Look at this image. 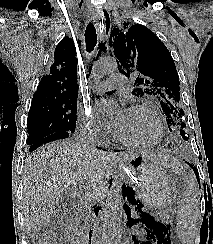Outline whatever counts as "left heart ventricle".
Returning <instances> with one entry per match:
<instances>
[{
  "label": "left heart ventricle",
  "mask_w": 213,
  "mask_h": 244,
  "mask_svg": "<svg viewBox=\"0 0 213 244\" xmlns=\"http://www.w3.org/2000/svg\"><path fill=\"white\" fill-rule=\"evenodd\" d=\"M116 131L124 139L135 142H150L159 136L155 119L144 110H128L123 123Z\"/></svg>",
  "instance_id": "1"
}]
</instances>
